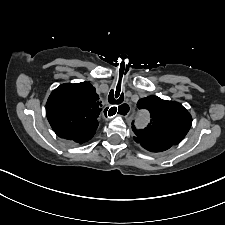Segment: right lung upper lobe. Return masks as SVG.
Masks as SVG:
<instances>
[{"label":"right lung upper lobe","instance_id":"1","mask_svg":"<svg viewBox=\"0 0 225 225\" xmlns=\"http://www.w3.org/2000/svg\"><path fill=\"white\" fill-rule=\"evenodd\" d=\"M101 106L90 83H66L52 91L46 103V113L57 136L83 143L96 133Z\"/></svg>","mask_w":225,"mask_h":225}]
</instances>
